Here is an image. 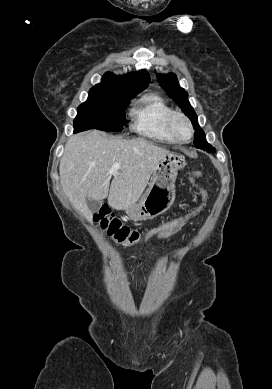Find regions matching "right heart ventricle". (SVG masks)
<instances>
[{
    "label": "right heart ventricle",
    "mask_w": 272,
    "mask_h": 389,
    "mask_svg": "<svg viewBox=\"0 0 272 389\" xmlns=\"http://www.w3.org/2000/svg\"><path fill=\"white\" fill-rule=\"evenodd\" d=\"M173 112L169 103L160 95L142 96L131 109V128L134 132L155 141L176 143L168 130L167 120Z\"/></svg>",
    "instance_id": "obj_1"
}]
</instances>
